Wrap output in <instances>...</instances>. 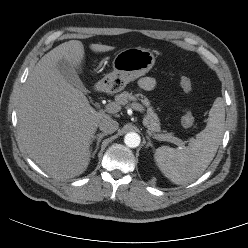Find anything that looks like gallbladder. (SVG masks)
<instances>
[{
    "label": "gallbladder",
    "mask_w": 248,
    "mask_h": 248,
    "mask_svg": "<svg viewBox=\"0 0 248 248\" xmlns=\"http://www.w3.org/2000/svg\"><path fill=\"white\" fill-rule=\"evenodd\" d=\"M57 69L60 74L68 81L70 84L79 88L83 92H87L85 86L80 80L75 67L67 60L61 59L57 63Z\"/></svg>",
    "instance_id": "gallbladder-1"
}]
</instances>
